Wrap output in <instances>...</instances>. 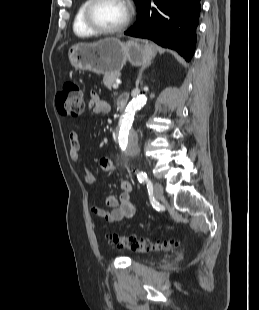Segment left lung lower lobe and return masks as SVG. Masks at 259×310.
I'll use <instances>...</instances> for the list:
<instances>
[{
  "label": "left lung lower lobe",
  "instance_id": "left-lung-lower-lobe-1",
  "mask_svg": "<svg viewBox=\"0 0 259 310\" xmlns=\"http://www.w3.org/2000/svg\"><path fill=\"white\" fill-rule=\"evenodd\" d=\"M201 0H143L138 7V18L125 34L147 38L176 50L189 61L194 52Z\"/></svg>",
  "mask_w": 259,
  "mask_h": 310
}]
</instances>
